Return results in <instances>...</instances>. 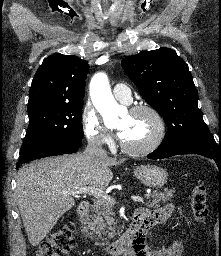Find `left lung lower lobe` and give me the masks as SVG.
<instances>
[{
	"mask_svg": "<svg viewBox=\"0 0 221 256\" xmlns=\"http://www.w3.org/2000/svg\"><path fill=\"white\" fill-rule=\"evenodd\" d=\"M179 154H199L213 159L221 169V142L216 143L211 133L188 136L180 141L163 143L150 153V159L168 158Z\"/></svg>",
	"mask_w": 221,
	"mask_h": 256,
	"instance_id": "left-lung-lower-lobe-1",
	"label": "left lung lower lobe"
}]
</instances>
